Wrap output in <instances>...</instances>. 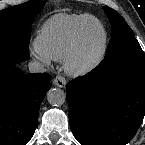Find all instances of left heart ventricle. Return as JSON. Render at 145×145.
Wrapping results in <instances>:
<instances>
[{"label": "left heart ventricle", "instance_id": "b2bd125f", "mask_svg": "<svg viewBox=\"0 0 145 145\" xmlns=\"http://www.w3.org/2000/svg\"><path fill=\"white\" fill-rule=\"evenodd\" d=\"M84 39H85L84 56L88 57L98 49L102 39L101 30L94 21L89 22L88 27L84 33Z\"/></svg>", "mask_w": 145, "mask_h": 145}]
</instances>
